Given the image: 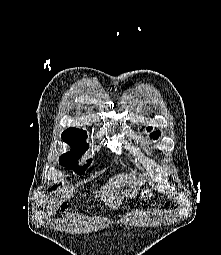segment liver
<instances>
[{
    "label": "liver",
    "mask_w": 221,
    "mask_h": 255,
    "mask_svg": "<svg viewBox=\"0 0 221 255\" xmlns=\"http://www.w3.org/2000/svg\"><path fill=\"white\" fill-rule=\"evenodd\" d=\"M143 184L142 181L137 179L133 174H117L101 187V190H96L95 199L100 198V201L106 205L115 209L119 206L122 200L126 198H135L139 191V186ZM99 194V195H97ZM74 196L73 190L60 191L54 196H51L48 205L47 212L49 215H53L60 208L61 204Z\"/></svg>",
    "instance_id": "liver-1"
}]
</instances>
